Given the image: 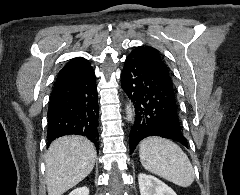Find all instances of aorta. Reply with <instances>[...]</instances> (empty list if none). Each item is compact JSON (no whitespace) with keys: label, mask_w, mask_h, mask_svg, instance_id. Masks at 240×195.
Listing matches in <instances>:
<instances>
[{"label":"aorta","mask_w":240,"mask_h":195,"mask_svg":"<svg viewBox=\"0 0 240 195\" xmlns=\"http://www.w3.org/2000/svg\"><path fill=\"white\" fill-rule=\"evenodd\" d=\"M126 113H127L126 119H128V121H133V119H134V109L132 107L131 101H130V103H127V105H126Z\"/></svg>","instance_id":"aorta-1"}]
</instances>
